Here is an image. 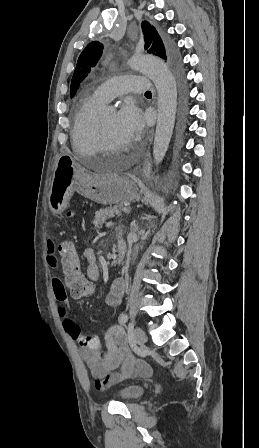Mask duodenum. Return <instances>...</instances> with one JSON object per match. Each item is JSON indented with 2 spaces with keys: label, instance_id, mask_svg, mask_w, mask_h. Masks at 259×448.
Instances as JSON below:
<instances>
[{
  "label": "duodenum",
  "instance_id": "1",
  "mask_svg": "<svg viewBox=\"0 0 259 448\" xmlns=\"http://www.w3.org/2000/svg\"><path fill=\"white\" fill-rule=\"evenodd\" d=\"M126 252V245L123 241H119L117 244V264L121 263Z\"/></svg>",
  "mask_w": 259,
  "mask_h": 448
}]
</instances>
